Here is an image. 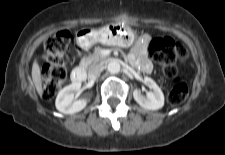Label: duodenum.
<instances>
[{
    "label": "duodenum",
    "mask_w": 225,
    "mask_h": 155,
    "mask_svg": "<svg viewBox=\"0 0 225 155\" xmlns=\"http://www.w3.org/2000/svg\"><path fill=\"white\" fill-rule=\"evenodd\" d=\"M86 79L85 69L81 66L76 67L71 74V80L74 83H81Z\"/></svg>",
    "instance_id": "duodenum-1"
}]
</instances>
